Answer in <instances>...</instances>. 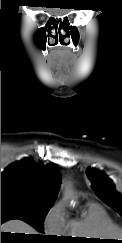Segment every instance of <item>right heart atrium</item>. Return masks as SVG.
<instances>
[{
    "instance_id": "right-heart-atrium-1",
    "label": "right heart atrium",
    "mask_w": 122,
    "mask_h": 243,
    "mask_svg": "<svg viewBox=\"0 0 122 243\" xmlns=\"http://www.w3.org/2000/svg\"><path fill=\"white\" fill-rule=\"evenodd\" d=\"M67 215L62 202L55 204L47 213L44 220V228L47 233L53 235L65 234L67 230Z\"/></svg>"
}]
</instances>
